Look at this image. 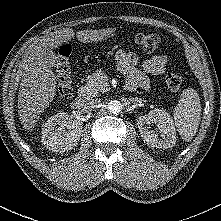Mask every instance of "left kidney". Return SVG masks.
I'll use <instances>...</instances> for the list:
<instances>
[{
    "mask_svg": "<svg viewBox=\"0 0 221 221\" xmlns=\"http://www.w3.org/2000/svg\"><path fill=\"white\" fill-rule=\"evenodd\" d=\"M158 123L160 137L153 131H148L146 124ZM140 136L150 147L168 149L176 143V130L171 116L162 109L151 110L147 115L137 119Z\"/></svg>",
    "mask_w": 221,
    "mask_h": 221,
    "instance_id": "obj_1",
    "label": "left kidney"
}]
</instances>
